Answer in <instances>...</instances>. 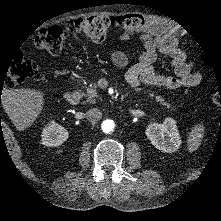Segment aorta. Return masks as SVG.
<instances>
[{
  "label": "aorta",
  "instance_id": "obj_1",
  "mask_svg": "<svg viewBox=\"0 0 221 221\" xmlns=\"http://www.w3.org/2000/svg\"><path fill=\"white\" fill-rule=\"evenodd\" d=\"M101 128L104 133H112L115 129V123L111 119H106L102 122Z\"/></svg>",
  "mask_w": 221,
  "mask_h": 221
}]
</instances>
